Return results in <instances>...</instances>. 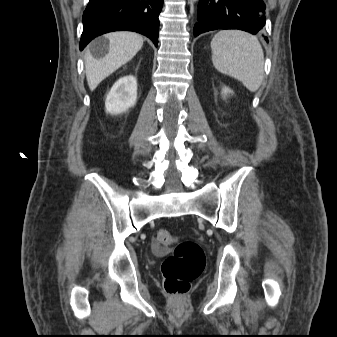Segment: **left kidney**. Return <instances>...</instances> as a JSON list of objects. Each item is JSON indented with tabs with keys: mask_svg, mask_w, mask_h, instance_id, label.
<instances>
[{
	"mask_svg": "<svg viewBox=\"0 0 337 337\" xmlns=\"http://www.w3.org/2000/svg\"><path fill=\"white\" fill-rule=\"evenodd\" d=\"M228 93H232V91L228 87H224L222 90V94L227 95Z\"/></svg>",
	"mask_w": 337,
	"mask_h": 337,
	"instance_id": "left-kidney-1",
	"label": "left kidney"
}]
</instances>
